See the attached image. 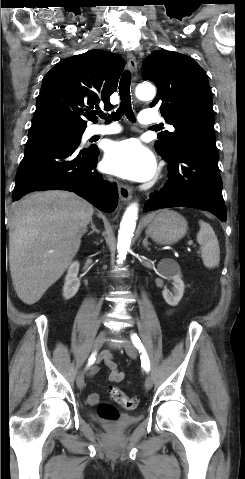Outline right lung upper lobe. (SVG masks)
<instances>
[{
	"instance_id": "1",
	"label": "right lung upper lobe",
	"mask_w": 245,
	"mask_h": 479,
	"mask_svg": "<svg viewBox=\"0 0 245 479\" xmlns=\"http://www.w3.org/2000/svg\"><path fill=\"white\" fill-rule=\"evenodd\" d=\"M124 68L121 56L91 50L66 58L45 75L30 130L49 127L85 129L94 108L116 90Z\"/></svg>"
}]
</instances>
